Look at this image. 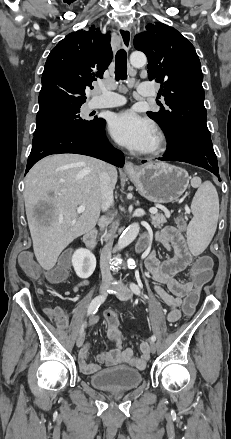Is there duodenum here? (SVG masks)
Instances as JSON below:
<instances>
[{
    "instance_id": "obj_1",
    "label": "duodenum",
    "mask_w": 231,
    "mask_h": 439,
    "mask_svg": "<svg viewBox=\"0 0 231 439\" xmlns=\"http://www.w3.org/2000/svg\"><path fill=\"white\" fill-rule=\"evenodd\" d=\"M97 233L95 229L88 230L83 236V242L89 250H94L96 247ZM146 241L142 238L136 244V251L142 252L146 247Z\"/></svg>"
}]
</instances>
